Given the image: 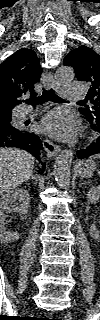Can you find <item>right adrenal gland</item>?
Segmentation results:
<instances>
[{"label": "right adrenal gland", "instance_id": "obj_1", "mask_svg": "<svg viewBox=\"0 0 100 320\" xmlns=\"http://www.w3.org/2000/svg\"><path fill=\"white\" fill-rule=\"evenodd\" d=\"M33 179L37 182V180H36V178H35V175H34V174H32V175H31V177H30L29 179H27V181H29V180H33Z\"/></svg>", "mask_w": 100, "mask_h": 320}]
</instances>
